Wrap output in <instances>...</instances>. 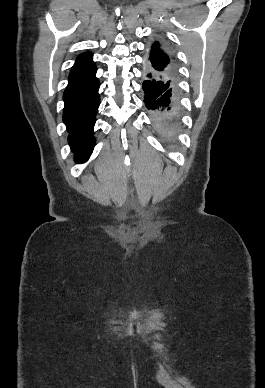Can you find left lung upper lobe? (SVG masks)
Masks as SVG:
<instances>
[{
  "label": "left lung upper lobe",
  "instance_id": "5c2ea615",
  "mask_svg": "<svg viewBox=\"0 0 265 388\" xmlns=\"http://www.w3.org/2000/svg\"><path fill=\"white\" fill-rule=\"evenodd\" d=\"M146 64L172 74L177 78V68L169 50L159 41L152 43Z\"/></svg>",
  "mask_w": 265,
  "mask_h": 388
}]
</instances>
